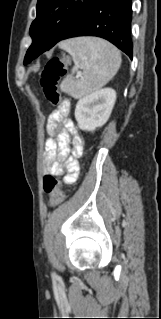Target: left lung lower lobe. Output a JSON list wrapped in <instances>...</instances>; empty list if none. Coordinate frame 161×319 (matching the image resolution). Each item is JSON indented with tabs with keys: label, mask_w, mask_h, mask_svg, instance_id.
Instances as JSON below:
<instances>
[{
	"label": "left lung lower lobe",
	"mask_w": 161,
	"mask_h": 319,
	"mask_svg": "<svg viewBox=\"0 0 161 319\" xmlns=\"http://www.w3.org/2000/svg\"><path fill=\"white\" fill-rule=\"evenodd\" d=\"M132 0H96L72 25L61 40L77 36L104 38L132 59ZM60 40V41H61ZM37 53L25 57L24 64Z\"/></svg>",
	"instance_id": "0a47b994"
}]
</instances>
